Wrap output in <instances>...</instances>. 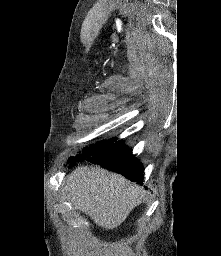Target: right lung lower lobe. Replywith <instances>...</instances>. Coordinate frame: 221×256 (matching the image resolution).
<instances>
[{"instance_id":"98d812e1","label":"right lung lower lobe","mask_w":221,"mask_h":256,"mask_svg":"<svg viewBox=\"0 0 221 256\" xmlns=\"http://www.w3.org/2000/svg\"><path fill=\"white\" fill-rule=\"evenodd\" d=\"M87 161L120 173L127 179L139 184L143 182V166L134 157L132 150L126 147L123 142L115 141L107 145L99 152L88 157Z\"/></svg>"}]
</instances>
